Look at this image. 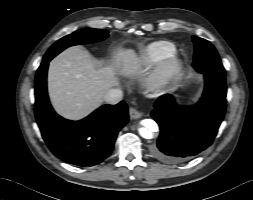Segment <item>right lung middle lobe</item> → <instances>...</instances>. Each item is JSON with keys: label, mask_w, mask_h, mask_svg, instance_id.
<instances>
[{"label": "right lung middle lobe", "mask_w": 253, "mask_h": 200, "mask_svg": "<svg viewBox=\"0 0 253 200\" xmlns=\"http://www.w3.org/2000/svg\"><path fill=\"white\" fill-rule=\"evenodd\" d=\"M107 37L108 31L106 30L84 28L58 40L49 48L44 58H53L69 46L99 42Z\"/></svg>", "instance_id": "1"}]
</instances>
